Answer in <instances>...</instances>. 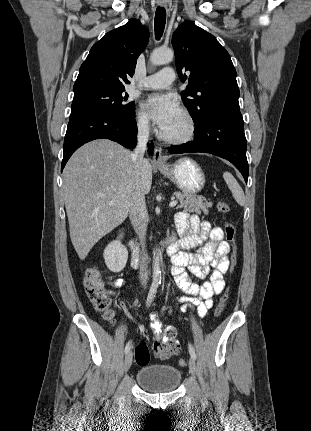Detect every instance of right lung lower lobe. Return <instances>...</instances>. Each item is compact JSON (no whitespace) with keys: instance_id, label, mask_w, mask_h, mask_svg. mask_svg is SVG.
<instances>
[{"instance_id":"obj_1","label":"right lung lower lobe","mask_w":311,"mask_h":431,"mask_svg":"<svg viewBox=\"0 0 311 431\" xmlns=\"http://www.w3.org/2000/svg\"><path fill=\"white\" fill-rule=\"evenodd\" d=\"M136 135L135 113L122 116L103 111H84L70 116L64 139L61 171L75 150L89 141L106 138L132 149L136 146ZM153 149L154 145L151 143L148 147L149 153Z\"/></svg>"}]
</instances>
